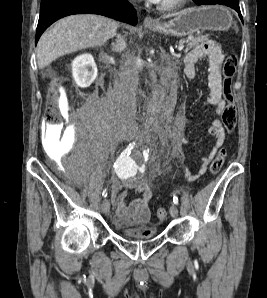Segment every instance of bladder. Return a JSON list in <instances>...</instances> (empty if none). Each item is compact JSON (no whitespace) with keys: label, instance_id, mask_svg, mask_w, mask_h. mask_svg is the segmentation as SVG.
Returning <instances> with one entry per match:
<instances>
[{"label":"bladder","instance_id":"bladder-1","mask_svg":"<svg viewBox=\"0 0 267 298\" xmlns=\"http://www.w3.org/2000/svg\"><path fill=\"white\" fill-rule=\"evenodd\" d=\"M152 230H153V232L149 235H139L135 231H133L132 229H121L120 234L124 238L130 239V240H147V239H151V238L156 236L157 229L154 228Z\"/></svg>","mask_w":267,"mask_h":298}]
</instances>
